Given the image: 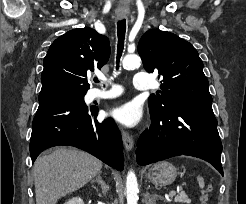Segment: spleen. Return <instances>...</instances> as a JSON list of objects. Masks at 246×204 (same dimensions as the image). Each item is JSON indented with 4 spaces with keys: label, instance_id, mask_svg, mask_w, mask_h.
I'll return each mask as SVG.
<instances>
[{
    "label": "spleen",
    "instance_id": "3e777b00",
    "mask_svg": "<svg viewBox=\"0 0 246 204\" xmlns=\"http://www.w3.org/2000/svg\"><path fill=\"white\" fill-rule=\"evenodd\" d=\"M197 181H198V183H199V186H200V188H204V179H203V177H201L200 175L197 177ZM202 193H204V191H202Z\"/></svg>",
    "mask_w": 246,
    "mask_h": 204
}]
</instances>
